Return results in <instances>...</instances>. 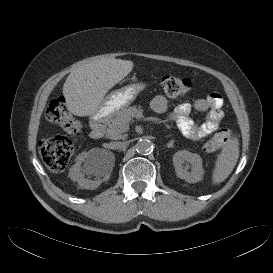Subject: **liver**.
Listing matches in <instances>:
<instances>
[{
  "instance_id": "1",
  "label": "liver",
  "mask_w": 273,
  "mask_h": 273,
  "mask_svg": "<svg viewBox=\"0 0 273 273\" xmlns=\"http://www.w3.org/2000/svg\"><path fill=\"white\" fill-rule=\"evenodd\" d=\"M134 67L130 60L106 58L82 64L71 71L63 85L67 109L77 116L100 111L107 92Z\"/></svg>"
}]
</instances>
